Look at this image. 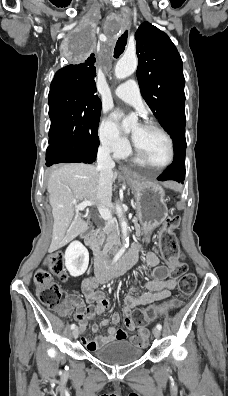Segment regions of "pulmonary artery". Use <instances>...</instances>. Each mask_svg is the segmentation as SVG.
<instances>
[{"mask_svg":"<svg viewBox=\"0 0 228 396\" xmlns=\"http://www.w3.org/2000/svg\"><path fill=\"white\" fill-rule=\"evenodd\" d=\"M115 95L124 102L136 107L139 110H144V104L141 97L138 83L133 80H127L115 89Z\"/></svg>","mask_w":228,"mask_h":396,"instance_id":"pulmonary-artery-1","label":"pulmonary artery"}]
</instances>
